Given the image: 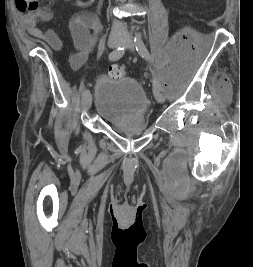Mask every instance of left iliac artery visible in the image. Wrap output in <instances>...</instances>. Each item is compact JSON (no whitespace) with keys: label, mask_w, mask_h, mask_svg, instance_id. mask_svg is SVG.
Segmentation results:
<instances>
[{"label":"left iliac artery","mask_w":253,"mask_h":267,"mask_svg":"<svg viewBox=\"0 0 253 267\" xmlns=\"http://www.w3.org/2000/svg\"><path fill=\"white\" fill-rule=\"evenodd\" d=\"M134 42H135V46H136V50L137 52L146 60L150 61L151 57L150 54L147 51V47L145 45V43L143 42V40L141 39L139 34H136L135 38H134ZM152 84H153V88L154 89H158L161 90V84L159 83V81L157 80L156 77H153L152 79Z\"/></svg>","instance_id":"44dca946"}]
</instances>
